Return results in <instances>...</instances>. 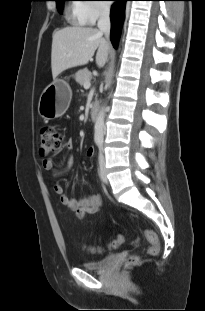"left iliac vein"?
<instances>
[{"label": "left iliac vein", "instance_id": "1", "mask_svg": "<svg viewBox=\"0 0 205 311\" xmlns=\"http://www.w3.org/2000/svg\"><path fill=\"white\" fill-rule=\"evenodd\" d=\"M99 172L102 182L107 183L108 179L106 176L105 157L103 151H101L99 154Z\"/></svg>", "mask_w": 205, "mask_h": 311}]
</instances>
